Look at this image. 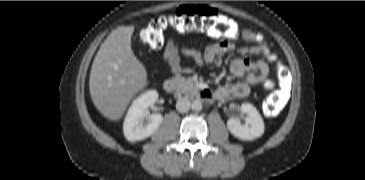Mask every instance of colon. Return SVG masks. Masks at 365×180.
<instances>
[{"instance_id": "5ec220e1", "label": "colon", "mask_w": 365, "mask_h": 180, "mask_svg": "<svg viewBox=\"0 0 365 180\" xmlns=\"http://www.w3.org/2000/svg\"><path fill=\"white\" fill-rule=\"evenodd\" d=\"M204 30L212 38L220 41H230L237 35V30L228 19H224L216 10L208 6L186 5L177 9L174 13L161 14L151 19L140 32L141 41L151 47L160 48L165 41L166 33L174 31L179 34L191 30ZM287 72L281 63L276 64L275 78L266 84V90L270 91L267 100L270 115H277L283 109L282 83Z\"/></svg>"}]
</instances>
